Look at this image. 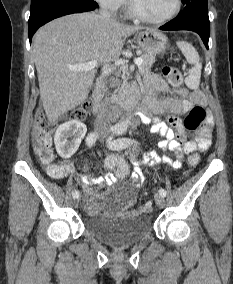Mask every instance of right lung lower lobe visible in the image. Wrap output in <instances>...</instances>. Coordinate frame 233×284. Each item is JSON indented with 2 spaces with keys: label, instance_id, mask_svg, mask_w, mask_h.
<instances>
[{
  "label": "right lung lower lobe",
  "instance_id": "1",
  "mask_svg": "<svg viewBox=\"0 0 233 284\" xmlns=\"http://www.w3.org/2000/svg\"><path fill=\"white\" fill-rule=\"evenodd\" d=\"M94 1L81 2H57L52 4L37 7L30 12L28 21L29 25V40L37 29L45 23L68 14L92 11L97 7Z\"/></svg>",
  "mask_w": 233,
  "mask_h": 284
}]
</instances>
